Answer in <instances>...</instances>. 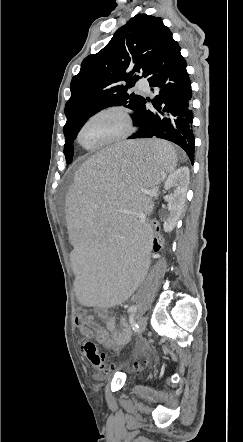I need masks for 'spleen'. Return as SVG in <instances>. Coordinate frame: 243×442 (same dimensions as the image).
<instances>
[{
  "instance_id": "spleen-1",
  "label": "spleen",
  "mask_w": 243,
  "mask_h": 442,
  "mask_svg": "<svg viewBox=\"0 0 243 442\" xmlns=\"http://www.w3.org/2000/svg\"><path fill=\"white\" fill-rule=\"evenodd\" d=\"M177 160L167 141H128L100 147L73 173L65 207L75 248L70 254L75 301L82 307H120L141 291L153 248L144 228L152 204L140 192L161 184Z\"/></svg>"
}]
</instances>
